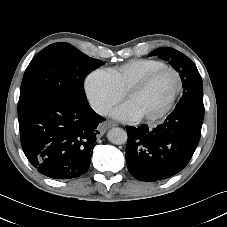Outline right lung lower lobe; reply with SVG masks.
I'll use <instances>...</instances> for the list:
<instances>
[{
	"mask_svg": "<svg viewBox=\"0 0 227 227\" xmlns=\"http://www.w3.org/2000/svg\"><path fill=\"white\" fill-rule=\"evenodd\" d=\"M23 151L45 176L76 178L89 166L96 130L104 121L89 105L47 99L18 113Z\"/></svg>",
	"mask_w": 227,
	"mask_h": 227,
	"instance_id": "right-lung-lower-lobe-1",
	"label": "right lung lower lobe"
}]
</instances>
